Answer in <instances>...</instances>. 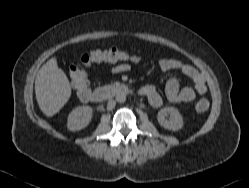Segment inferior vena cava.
I'll return each mask as SVG.
<instances>
[{
	"mask_svg": "<svg viewBox=\"0 0 249 188\" xmlns=\"http://www.w3.org/2000/svg\"><path fill=\"white\" fill-rule=\"evenodd\" d=\"M115 105H116L115 100L110 99V100L108 101V103H107V110H112V109H114Z\"/></svg>",
	"mask_w": 249,
	"mask_h": 188,
	"instance_id": "inferior-vena-cava-1",
	"label": "inferior vena cava"
}]
</instances>
